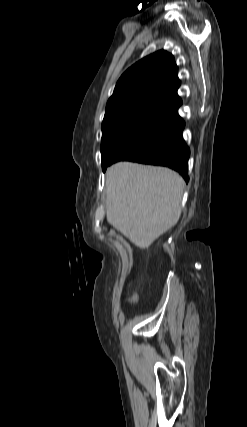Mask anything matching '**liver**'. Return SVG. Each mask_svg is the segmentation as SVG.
<instances>
[{
    "label": "liver",
    "instance_id": "1",
    "mask_svg": "<svg viewBox=\"0 0 247 427\" xmlns=\"http://www.w3.org/2000/svg\"><path fill=\"white\" fill-rule=\"evenodd\" d=\"M183 189V178L168 168L116 163L106 173L107 221L147 248L178 222Z\"/></svg>",
    "mask_w": 247,
    "mask_h": 427
}]
</instances>
